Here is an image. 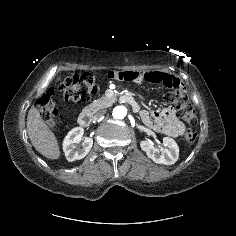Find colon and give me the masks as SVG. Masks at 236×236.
<instances>
[{
	"instance_id": "1",
	"label": "colon",
	"mask_w": 236,
	"mask_h": 236,
	"mask_svg": "<svg viewBox=\"0 0 236 236\" xmlns=\"http://www.w3.org/2000/svg\"><path fill=\"white\" fill-rule=\"evenodd\" d=\"M170 88L174 89L164 96L165 102L176 107L177 115L180 118L187 121L190 125H195L197 123V115L194 106L187 101L186 95L180 88ZM58 89L68 101H85L97 91V85L94 76L89 73L71 74L59 79ZM53 93V89H49L37 100V109L42 119L49 126L54 124L58 115ZM196 137L197 132L193 128H188L185 131L186 141L194 142Z\"/></svg>"
}]
</instances>
